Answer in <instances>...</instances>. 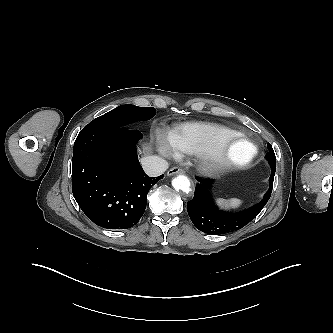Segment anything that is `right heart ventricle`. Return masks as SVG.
Instances as JSON below:
<instances>
[{
	"instance_id": "1",
	"label": "right heart ventricle",
	"mask_w": 333,
	"mask_h": 333,
	"mask_svg": "<svg viewBox=\"0 0 333 333\" xmlns=\"http://www.w3.org/2000/svg\"><path fill=\"white\" fill-rule=\"evenodd\" d=\"M236 134L230 128L208 122H188L175 127L170 140L176 150L186 154H201L218 140Z\"/></svg>"
}]
</instances>
